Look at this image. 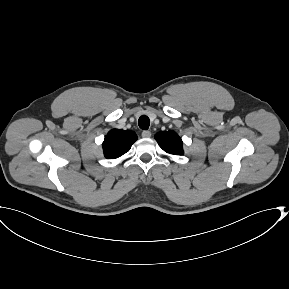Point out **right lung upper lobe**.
Returning a JSON list of instances; mask_svg holds the SVG:
<instances>
[{
  "label": "right lung upper lobe",
  "instance_id": "cb5924a9",
  "mask_svg": "<svg viewBox=\"0 0 289 289\" xmlns=\"http://www.w3.org/2000/svg\"><path fill=\"white\" fill-rule=\"evenodd\" d=\"M137 140L136 133L113 129L105 136L102 144L104 156L107 159H115L128 152L132 144Z\"/></svg>",
  "mask_w": 289,
  "mask_h": 289
}]
</instances>
